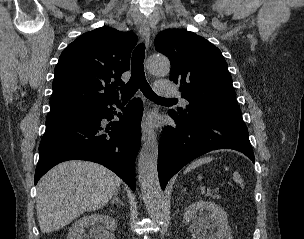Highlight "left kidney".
<instances>
[{"instance_id":"5707ae66","label":"left kidney","mask_w":304,"mask_h":239,"mask_svg":"<svg viewBox=\"0 0 304 239\" xmlns=\"http://www.w3.org/2000/svg\"><path fill=\"white\" fill-rule=\"evenodd\" d=\"M191 221L192 230L198 239H233L227 213L213 202L198 201L190 204L183 214V223L189 224ZM214 229H217L215 235L212 234Z\"/></svg>"}]
</instances>
